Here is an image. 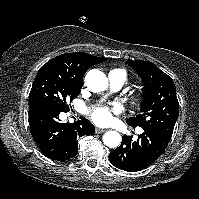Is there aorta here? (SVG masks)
<instances>
[{"mask_svg": "<svg viewBox=\"0 0 199 199\" xmlns=\"http://www.w3.org/2000/svg\"><path fill=\"white\" fill-rule=\"evenodd\" d=\"M85 83L90 91L102 92L108 87V78L102 71L92 69L87 73ZM103 142L109 148H116L121 143V135L116 131H107L103 135Z\"/></svg>", "mask_w": 199, "mask_h": 199, "instance_id": "762f6f07", "label": "aorta"}]
</instances>
